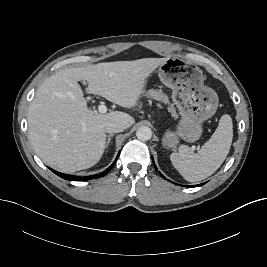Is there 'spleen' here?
<instances>
[{
    "instance_id": "spleen-1",
    "label": "spleen",
    "mask_w": 267,
    "mask_h": 267,
    "mask_svg": "<svg viewBox=\"0 0 267 267\" xmlns=\"http://www.w3.org/2000/svg\"><path fill=\"white\" fill-rule=\"evenodd\" d=\"M233 139V124L229 115H223L211 138L194 153L182 145L170 160L174 168L189 182L201 181L215 173L226 159Z\"/></svg>"
}]
</instances>
